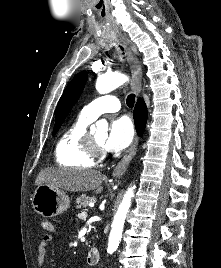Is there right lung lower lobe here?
I'll return each instance as SVG.
<instances>
[{"mask_svg":"<svg viewBox=\"0 0 221 268\" xmlns=\"http://www.w3.org/2000/svg\"><path fill=\"white\" fill-rule=\"evenodd\" d=\"M134 123L139 136L144 132L147 121V108L142 99H138L133 111Z\"/></svg>","mask_w":221,"mask_h":268,"instance_id":"98d812e1","label":"right lung lower lobe"}]
</instances>
